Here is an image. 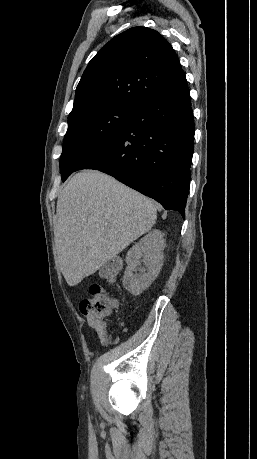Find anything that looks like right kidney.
I'll use <instances>...</instances> for the list:
<instances>
[{
	"label": "right kidney",
	"instance_id": "1",
	"mask_svg": "<svg viewBox=\"0 0 257 459\" xmlns=\"http://www.w3.org/2000/svg\"><path fill=\"white\" fill-rule=\"evenodd\" d=\"M165 245L164 234L160 230H153L127 252L123 286L132 295L141 294L159 274ZM141 262L146 269L141 267Z\"/></svg>",
	"mask_w": 257,
	"mask_h": 459
}]
</instances>
